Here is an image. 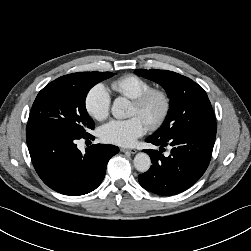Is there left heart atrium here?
I'll list each match as a JSON object with an SVG mask.
<instances>
[{"label": "left heart atrium", "instance_id": "obj_1", "mask_svg": "<svg viewBox=\"0 0 251 251\" xmlns=\"http://www.w3.org/2000/svg\"><path fill=\"white\" fill-rule=\"evenodd\" d=\"M147 130V123L140 116L126 120H111L100 128L102 141L119 146H131Z\"/></svg>", "mask_w": 251, "mask_h": 251}]
</instances>
